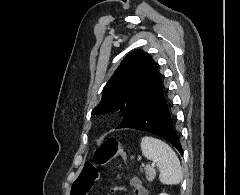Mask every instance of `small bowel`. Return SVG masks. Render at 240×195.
Segmentation results:
<instances>
[{"mask_svg": "<svg viewBox=\"0 0 240 195\" xmlns=\"http://www.w3.org/2000/svg\"><path fill=\"white\" fill-rule=\"evenodd\" d=\"M130 186L133 195H149L148 190L143 186L138 177H132L130 179ZM115 190L120 193L126 192V189L121 186L116 187Z\"/></svg>", "mask_w": 240, "mask_h": 195, "instance_id": "obj_1", "label": "small bowel"}]
</instances>
